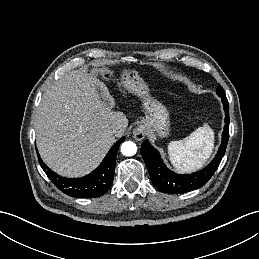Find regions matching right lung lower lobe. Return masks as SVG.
<instances>
[{
    "instance_id": "obj_1",
    "label": "right lung lower lobe",
    "mask_w": 259,
    "mask_h": 259,
    "mask_svg": "<svg viewBox=\"0 0 259 259\" xmlns=\"http://www.w3.org/2000/svg\"><path fill=\"white\" fill-rule=\"evenodd\" d=\"M124 140L125 137H122L112 146L103 162L96 170L81 178L70 179L61 177L49 169L45 163L42 162L39 155L38 159L48 178L63 193L76 198L99 197L106 193L112 186L117 151L120 143Z\"/></svg>"
}]
</instances>
